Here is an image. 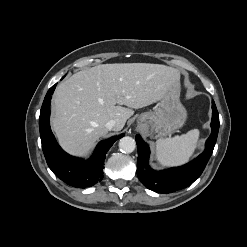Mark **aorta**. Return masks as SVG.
I'll return each mask as SVG.
<instances>
[{
	"mask_svg": "<svg viewBox=\"0 0 247 247\" xmlns=\"http://www.w3.org/2000/svg\"><path fill=\"white\" fill-rule=\"evenodd\" d=\"M136 148V142L132 137L125 136L119 141V149L123 153H132Z\"/></svg>",
	"mask_w": 247,
	"mask_h": 247,
	"instance_id": "1",
	"label": "aorta"
}]
</instances>
